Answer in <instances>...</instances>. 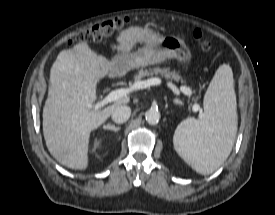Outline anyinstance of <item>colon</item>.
Returning <instances> with one entry per match:
<instances>
[{"mask_svg":"<svg viewBox=\"0 0 275 215\" xmlns=\"http://www.w3.org/2000/svg\"><path fill=\"white\" fill-rule=\"evenodd\" d=\"M128 23L129 19L127 17H114L79 33L73 41L86 43L100 42L122 30ZM194 36L201 40V48L203 50L210 49V42L202 39V32L200 30H195Z\"/></svg>","mask_w":275,"mask_h":215,"instance_id":"colon-1","label":"colon"}]
</instances>
